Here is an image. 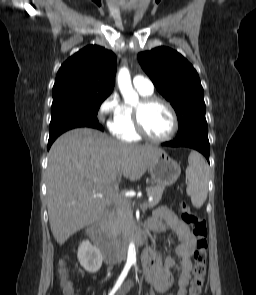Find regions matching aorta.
Masks as SVG:
<instances>
[{
  "instance_id": "aorta-1",
  "label": "aorta",
  "mask_w": 256,
  "mask_h": 295,
  "mask_svg": "<svg viewBox=\"0 0 256 295\" xmlns=\"http://www.w3.org/2000/svg\"><path fill=\"white\" fill-rule=\"evenodd\" d=\"M117 83L124 102L129 105H136L139 101V97L132 86L130 72L127 68L124 67L119 70ZM127 260L129 262H134L136 260V249L134 243L129 244Z\"/></svg>"
}]
</instances>
